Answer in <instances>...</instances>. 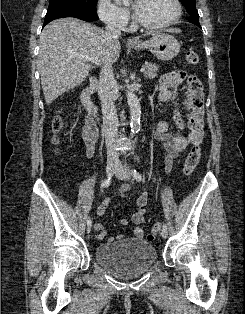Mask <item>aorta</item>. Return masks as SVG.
I'll use <instances>...</instances> for the list:
<instances>
[{"label": "aorta", "mask_w": 245, "mask_h": 314, "mask_svg": "<svg viewBox=\"0 0 245 314\" xmlns=\"http://www.w3.org/2000/svg\"><path fill=\"white\" fill-rule=\"evenodd\" d=\"M127 102L130 108L131 115V132L135 133L140 127V118H141V107L138 97L133 92L127 93Z\"/></svg>", "instance_id": "aorta-1"}]
</instances>
